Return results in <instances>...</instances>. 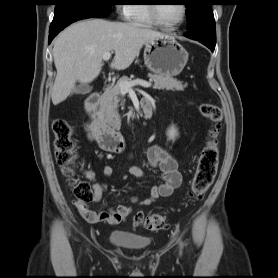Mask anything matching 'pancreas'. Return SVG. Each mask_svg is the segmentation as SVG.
<instances>
[{
  "instance_id": "pancreas-1",
  "label": "pancreas",
  "mask_w": 278,
  "mask_h": 278,
  "mask_svg": "<svg viewBox=\"0 0 278 278\" xmlns=\"http://www.w3.org/2000/svg\"><path fill=\"white\" fill-rule=\"evenodd\" d=\"M150 79L154 82L153 89H166L172 91H182L186 87L182 82L171 76L149 74ZM120 82H131V79L124 76L121 77L116 85L107 87L102 95L100 105V114L110 124L115 125V121L119 120L118 107L119 95L121 90L119 88Z\"/></svg>"
}]
</instances>
